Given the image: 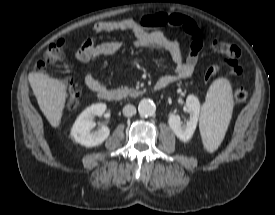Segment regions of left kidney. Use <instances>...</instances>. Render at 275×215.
Listing matches in <instances>:
<instances>
[{"instance_id":"5707ae66","label":"left kidney","mask_w":275,"mask_h":215,"mask_svg":"<svg viewBox=\"0 0 275 215\" xmlns=\"http://www.w3.org/2000/svg\"><path fill=\"white\" fill-rule=\"evenodd\" d=\"M188 112L190 114L189 120L186 124L181 122L180 116L174 113L169 114L168 123L175 135L183 142H187L191 139L199 118L200 102L194 95H189L186 100Z\"/></svg>"}]
</instances>
